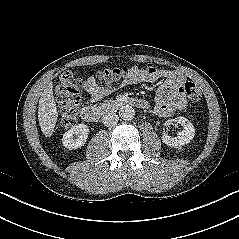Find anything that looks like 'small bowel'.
<instances>
[{
    "mask_svg": "<svg viewBox=\"0 0 239 239\" xmlns=\"http://www.w3.org/2000/svg\"><path fill=\"white\" fill-rule=\"evenodd\" d=\"M132 75L127 83H152L165 77L166 81L158 88L156 93V108L161 115H171L185 107V98L181 89V77L168 73L153 66L145 68L132 67ZM84 95L90 101L96 102L111 93L110 87H104L96 83L95 77L91 74L83 81Z\"/></svg>",
    "mask_w": 239,
    "mask_h": 239,
    "instance_id": "1",
    "label": "small bowel"
}]
</instances>
